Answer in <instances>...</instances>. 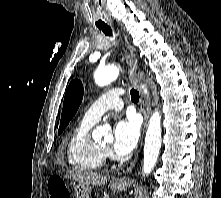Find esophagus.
Segmentation results:
<instances>
[{
	"instance_id": "1",
	"label": "esophagus",
	"mask_w": 221,
	"mask_h": 198,
	"mask_svg": "<svg viewBox=\"0 0 221 198\" xmlns=\"http://www.w3.org/2000/svg\"><path fill=\"white\" fill-rule=\"evenodd\" d=\"M123 36H124V43H125L124 56H125V61H126L127 67H128L129 79H130L131 83L133 84V86H135V88L140 93V109H141V112L144 116V127H143V134H144L145 129L147 128V125H148V120H149V116H150V112H151L150 95H149V93L145 92L144 87H143L144 83L137 73V70H138L137 69V64H138L137 58H136L135 54L130 50V45H129L127 37L125 35H123ZM137 159H138V153H137L136 157L132 160L130 165L127 167V169L125 171H123V174L115 177L113 179V181L114 182H123L125 180L126 174L131 172V170L135 166Z\"/></svg>"
}]
</instances>
